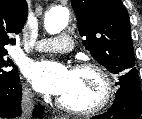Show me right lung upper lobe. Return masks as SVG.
Listing matches in <instances>:
<instances>
[{
    "instance_id": "right-lung-upper-lobe-1",
    "label": "right lung upper lobe",
    "mask_w": 142,
    "mask_h": 119,
    "mask_svg": "<svg viewBox=\"0 0 142 119\" xmlns=\"http://www.w3.org/2000/svg\"><path fill=\"white\" fill-rule=\"evenodd\" d=\"M26 0H0V51L15 44L11 34H18L27 19Z\"/></svg>"
}]
</instances>
